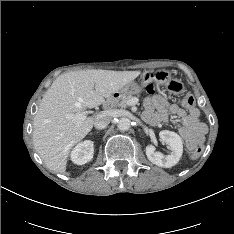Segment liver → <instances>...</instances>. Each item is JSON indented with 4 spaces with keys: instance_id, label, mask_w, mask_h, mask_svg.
<instances>
[{
    "instance_id": "1",
    "label": "liver",
    "mask_w": 234,
    "mask_h": 234,
    "mask_svg": "<svg viewBox=\"0 0 234 234\" xmlns=\"http://www.w3.org/2000/svg\"><path fill=\"white\" fill-rule=\"evenodd\" d=\"M140 71L81 70L60 75L43 96L33 121V143L46 166L64 173L70 149L92 129L94 118L78 127L67 115L101 105Z\"/></svg>"
}]
</instances>
